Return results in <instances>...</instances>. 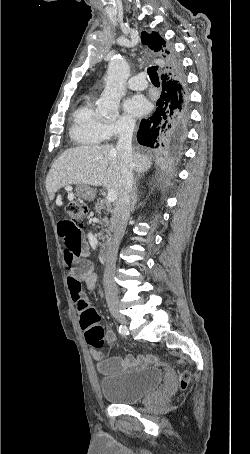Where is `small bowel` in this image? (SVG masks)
I'll return each instance as SVG.
<instances>
[{
    "mask_svg": "<svg viewBox=\"0 0 250 454\" xmlns=\"http://www.w3.org/2000/svg\"><path fill=\"white\" fill-rule=\"evenodd\" d=\"M59 235L64 243V262L67 267V283L73 303L79 314L88 306H91L86 292L83 290L82 283L87 290L94 289L97 282V274L94 264L88 260V243L79 227H75L68 220H63L58 225ZM107 340L113 343L115 336L113 332H108ZM91 355L97 363V369L101 374L107 375L121 371L127 367L137 366L141 362H153L155 356L149 355L140 360L133 358L112 357L103 358L99 349H92Z\"/></svg>",
    "mask_w": 250,
    "mask_h": 454,
    "instance_id": "c3829d8e",
    "label": "small bowel"
}]
</instances>
